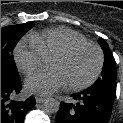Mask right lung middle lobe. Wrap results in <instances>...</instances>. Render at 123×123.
Wrapping results in <instances>:
<instances>
[{
    "label": "right lung middle lobe",
    "mask_w": 123,
    "mask_h": 123,
    "mask_svg": "<svg viewBox=\"0 0 123 123\" xmlns=\"http://www.w3.org/2000/svg\"><path fill=\"white\" fill-rule=\"evenodd\" d=\"M34 22L12 25L1 28V74L13 79H20L13 62L12 51L21 37L29 31Z\"/></svg>",
    "instance_id": "dd1d6c3e"
}]
</instances>
